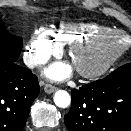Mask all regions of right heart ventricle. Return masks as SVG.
<instances>
[{"label":"right heart ventricle","instance_id":"e07e8e85","mask_svg":"<svg viewBox=\"0 0 131 131\" xmlns=\"http://www.w3.org/2000/svg\"><path fill=\"white\" fill-rule=\"evenodd\" d=\"M108 30L113 29L94 22H63L50 31L53 38L60 45H71L94 34Z\"/></svg>","mask_w":131,"mask_h":131}]
</instances>
